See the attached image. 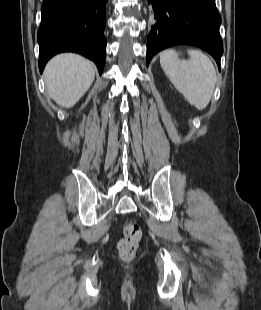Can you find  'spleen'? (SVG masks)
I'll return each mask as SVG.
<instances>
[{"mask_svg":"<svg viewBox=\"0 0 261 310\" xmlns=\"http://www.w3.org/2000/svg\"><path fill=\"white\" fill-rule=\"evenodd\" d=\"M189 60H179L177 53L166 50L160 54L161 67L190 105L203 110L210 102L217 75L211 60L202 52L188 51Z\"/></svg>","mask_w":261,"mask_h":310,"instance_id":"3e777b00","label":"spleen"}]
</instances>
